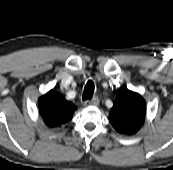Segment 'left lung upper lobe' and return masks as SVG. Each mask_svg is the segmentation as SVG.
Instances as JSON below:
<instances>
[{"label": "left lung upper lobe", "instance_id": "1", "mask_svg": "<svg viewBox=\"0 0 173 170\" xmlns=\"http://www.w3.org/2000/svg\"><path fill=\"white\" fill-rule=\"evenodd\" d=\"M145 114L146 102L141 95L122 87L117 91L109 121L117 132L132 135L143 125Z\"/></svg>", "mask_w": 173, "mask_h": 170}]
</instances>
